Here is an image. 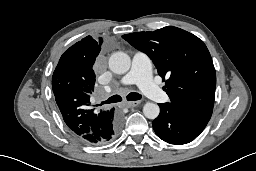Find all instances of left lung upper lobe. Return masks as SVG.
I'll return each mask as SVG.
<instances>
[{
    "mask_svg": "<svg viewBox=\"0 0 256 171\" xmlns=\"http://www.w3.org/2000/svg\"><path fill=\"white\" fill-rule=\"evenodd\" d=\"M122 37L151 58L163 81L168 77L164 90L170 103L206 120L210 119L216 73L211 55L202 40L173 26Z\"/></svg>",
    "mask_w": 256,
    "mask_h": 171,
    "instance_id": "5c2ea615",
    "label": "left lung upper lobe"
}]
</instances>
